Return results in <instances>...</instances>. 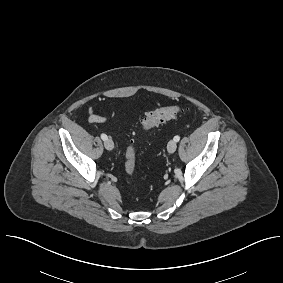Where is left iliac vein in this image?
I'll return each instance as SVG.
<instances>
[{
	"mask_svg": "<svg viewBox=\"0 0 283 283\" xmlns=\"http://www.w3.org/2000/svg\"><path fill=\"white\" fill-rule=\"evenodd\" d=\"M177 148V143L175 140H170L167 145V150L169 153H174Z\"/></svg>",
	"mask_w": 283,
	"mask_h": 283,
	"instance_id": "obj_1",
	"label": "left iliac vein"
}]
</instances>
